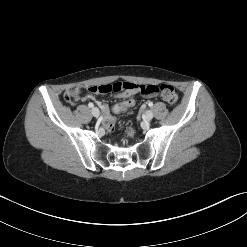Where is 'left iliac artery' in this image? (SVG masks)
Masks as SVG:
<instances>
[{
    "label": "left iliac artery",
    "mask_w": 247,
    "mask_h": 247,
    "mask_svg": "<svg viewBox=\"0 0 247 247\" xmlns=\"http://www.w3.org/2000/svg\"><path fill=\"white\" fill-rule=\"evenodd\" d=\"M148 105H149V107H152L153 106V103L152 102H149Z\"/></svg>",
    "instance_id": "obj_1"
}]
</instances>
